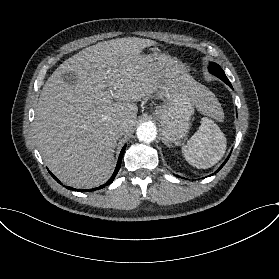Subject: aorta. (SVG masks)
Listing matches in <instances>:
<instances>
[{
  "label": "aorta",
  "mask_w": 279,
  "mask_h": 279,
  "mask_svg": "<svg viewBox=\"0 0 279 279\" xmlns=\"http://www.w3.org/2000/svg\"><path fill=\"white\" fill-rule=\"evenodd\" d=\"M136 134L140 141L150 143L155 140L157 136V129L152 122H144L139 125Z\"/></svg>",
  "instance_id": "1"
}]
</instances>
